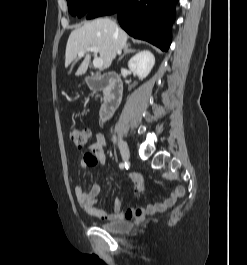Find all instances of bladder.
<instances>
[{
	"mask_svg": "<svg viewBox=\"0 0 247 265\" xmlns=\"http://www.w3.org/2000/svg\"><path fill=\"white\" fill-rule=\"evenodd\" d=\"M98 226L108 232L115 234H125L131 231L132 223L129 220H114L101 222Z\"/></svg>",
	"mask_w": 247,
	"mask_h": 265,
	"instance_id": "1",
	"label": "bladder"
}]
</instances>
